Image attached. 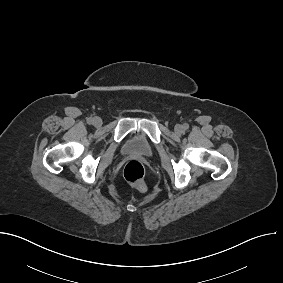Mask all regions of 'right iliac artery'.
<instances>
[{
	"label": "right iliac artery",
	"instance_id": "right-iliac-artery-1",
	"mask_svg": "<svg viewBox=\"0 0 283 283\" xmlns=\"http://www.w3.org/2000/svg\"><path fill=\"white\" fill-rule=\"evenodd\" d=\"M87 122H88L89 124H92V123H93V119H92V118H88V119H87Z\"/></svg>",
	"mask_w": 283,
	"mask_h": 283
}]
</instances>
